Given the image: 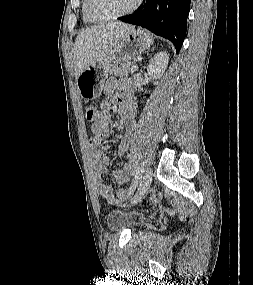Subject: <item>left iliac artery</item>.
<instances>
[{
    "mask_svg": "<svg viewBox=\"0 0 253 285\" xmlns=\"http://www.w3.org/2000/svg\"><path fill=\"white\" fill-rule=\"evenodd\" d=\"M144 170H145V163H142V165L139 167L138 171L136 172L135 177H134V179L131 183V186L128 190V196H130L131 194L134 193V191H135V189H136V187H137V185H138V183L142 177Z\"/></svg>",
    "mask_w": 253,
    "mask_h": 285,
    "instance_id": "obj_1",
    "label": "left iliac artery"
}]
</instances>
